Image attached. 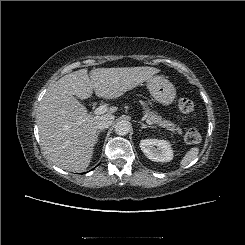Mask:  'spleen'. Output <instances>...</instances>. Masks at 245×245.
Segmentation results:
<instances>
[{"label": "spleen", "mask_w": 245, "mask_h": 245, "mask_svg": "<svg viewBox=\"0 0 245 245\" xmlns=\"http://www.w3.org/2000/svg\"><path fill=\"white\" fill-rule=\"evenodd\" d=\"M198 153H199V148L198 147L190 148L186 152L184 157L182 158V160L180 162V166L181 167L187 166L189 163H191L198 156Z\"/></svg>", "instance_id": "3e777b00"}]
</instances>
